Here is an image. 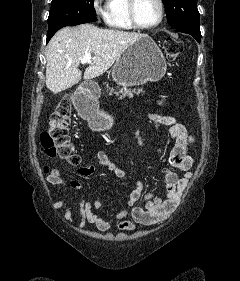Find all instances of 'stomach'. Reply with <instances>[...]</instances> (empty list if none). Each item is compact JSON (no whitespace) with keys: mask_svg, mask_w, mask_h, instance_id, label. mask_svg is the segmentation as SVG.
Returning a JSON list of instances; mask_svg holds the SVG:
<instances>
[{"mask_svg":"<svg viewBox=\"0 0 240 281\" xmlns=\"http://www.w3.org/2000/svg\"><path fill=\"white\" fill-rule=\"evenodd\" d=\"M166 67L161 50L151 37L145 35L129 45L117 58L112 77L123 87L142 85L160 80L166 73ZM82 115L94 130H108L113 125V118L93 102L87 104Z\"/></svg>","mask_w":240,"mask_h":281,"instance_id":"obj_1","label":"stomach"}]
</instances>
